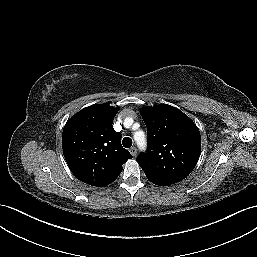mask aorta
Instances as JSON below:
<instances>
[{
    "label": "aorta",
    "mask_w": 257,
    "mask_h": 257,
    "mask_svg": "<svg viewBox=\"0 0 257 257\" xmlns=\"http://www.w3.org/2000/svg\"><path fill=\"white\" fill-rule=\"evenodd\" d=\"M138 134L141 135V137H138ZM134 138L138 144V146L142 149L145 147L146 142H145V136L143 132L135 133Z\"/></svg>",
    "instance_id": "aorta-1"
}]
</instances>
